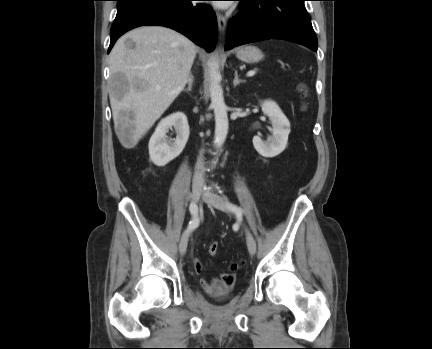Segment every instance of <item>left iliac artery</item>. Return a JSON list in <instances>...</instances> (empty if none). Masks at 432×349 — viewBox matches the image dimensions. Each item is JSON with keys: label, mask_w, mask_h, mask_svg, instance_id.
<instances>
[{"label": "left iliac artery", "mask_w": 432, "mask_h": 349, "mask_svg": "<svg viewBox=\"0 0 432 349\" xmlns=\"http://www.w3.org/2000/svg\"><path fill=\"white\" fill-rule=\"evenodd\" d=\"M229 208H230L231 210L237 212L238 214H241V213H242L241 208H239V207L236 206V205H232V204H231V205H229Z\"/></svg>", "instance_id": "44dca946"}]
</instances>
